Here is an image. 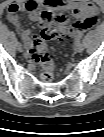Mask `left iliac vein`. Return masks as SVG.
Segmentation results:
<instances>
[{"instance_id":"4c4485c4","label":"left iliac vein","mask_w":104,"mask_h":137,"mask_svg":"<svg viewBox=\"0 0 104 137\" xmlns=\"http://www.w3.org/2000/svg\"><path fill=\"white\" fill-rule=\"evenodd\" d=\"M75 50H76L77 52H82V51L84 50L83 44L80 43V42H77L76 45H75Z\"/></svg>"}]
</instances>
